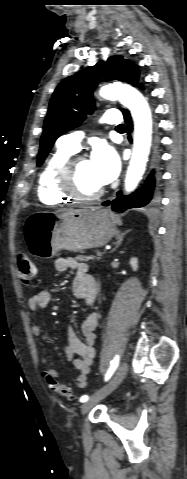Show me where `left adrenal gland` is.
Wrapping results in <instances>:
<instances>
[{"label": "left adrenal gland", "mask_w": 187, "mask_h": 479, "mask_svg": "<svg viewBox=\"0 0 187 479\" xmlns=\"http://www.w3.org/2000/svg\"><path fill=\"white\" fill-rule=\"evenodd\" d=\"M128 232H129V231H126V232H124V233H119V234L117 235V237H116L117 241L114 243L115 246H114V248L111 250V252L115 251V250L121 245V243H122V241H123L125 235H126Z\"/></svg>", "instance_id": "1"}]
</instances>
